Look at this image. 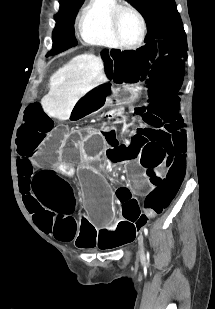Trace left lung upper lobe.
<instances>
[{
	"label": "left lung upper lobe",
	"instance_id": "left-lung-upper-lobe-1",
	"mask_svg": "<svg viewBox=\"0 0 215 309\" xmlns=\"http://www.w3.org/2000/svg\"><path fill=\"white\" fill-rule=\"evenodd\" d=\"M143 15L147 24L145 42L175 40L187 43L186 34L174 0H128Z\"/></svg>",
	"mask_w": 215,
	"mask_h": 309
}]
</instances>
